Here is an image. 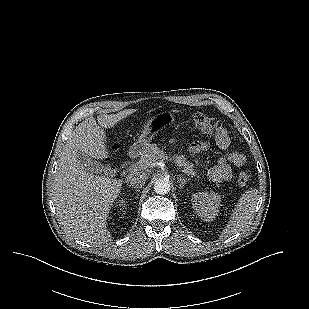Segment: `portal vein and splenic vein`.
<instances>
[{"instance_id": "1", "label": "portal vein and splenic vein", "mask_w": 309, "mask_h": 309, "mask_svg": "<svg viewBox=\"0 0 309 309\" xmlns=\"http://www.w3.org/2000/svg\"><path fill=\"white\" fill-rule=\"evenodd\" d=\"M149 165V164H148ZM147 165L146 164H144V163H142L141 161L140 162H138L136 165H135V167L137 168V167H139V168H144V167H146Z\"/></svg>"}]
</instances>
